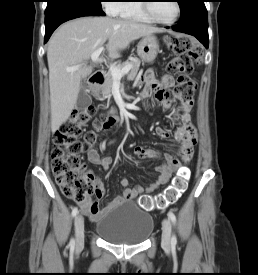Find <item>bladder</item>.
Wrapping results in <instances>:
<instances>
[{
  "instance_id": "31cf9c89",
  "label": "bladder",
  "mask_w": 258,
  "mask_h": 275,
  "mask_svg": "<svg viewBox=\"0 0 258 275\" xmlns=\"http://www.w3.org/2000/svg\"><path fill=\"white\" fill-rule=\"evenodd\" d=\"M154 220L150 213L131 202L106 212L95 224L96 234L115 244H141L151 235Z\"/></svg>"
}]
</instances>
